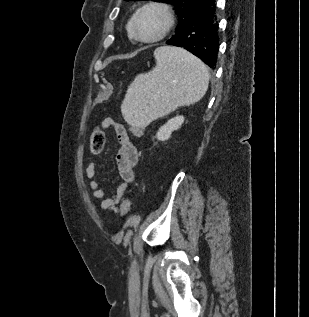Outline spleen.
Segmentation results:
<instances>
[{"mask_svg": "<svg viewBox=\"0 0 309 317\" xmlns=\"http://www.w3.org/2000/svg\"><path fill=\"white\" fill-rule=\"evenodd\" d=\"M154 57L155 67L135 77L122 102V115L130 125L145 127L200 101L208 89L207 66L188 51L162 46L155 49Z\"/></svg>", "mask_w": 309, "mask_h": 317, "instance_id": "3e777b00", "label": "spleen"}]
</instances>
